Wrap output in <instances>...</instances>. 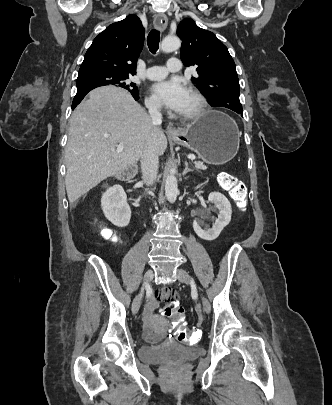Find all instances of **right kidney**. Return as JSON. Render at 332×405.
<instances>
[{"instance_id":"obj_1","label":"right kidney","mask_w":332,"mask_h":405,"mask_svg":"<svg viewBox=\"0 0 332 405\" xmlns=\"http://www.w3.org/2000/svg\"><path fill=\"white\" fill-rule=\"evenodd\" d=\"M101 207L105 217L115 226L126 227L130 223L131 209L121 185L117 184L106 190L101 198Z\"/></svg>"}]
</instances>
